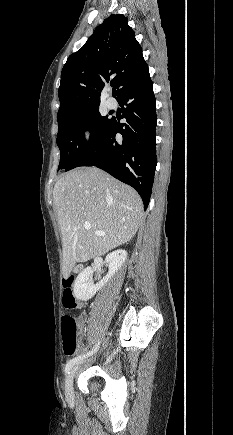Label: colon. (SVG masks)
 <instances>
[{
  "label": "colon",
  "mask_w": 233,
  "mask_h": 435,
  "mask_svg": "<svg viewBox=\"0 0 233 435\" xmlns=\"http://www.w3.org/2000/svg\"><path fill=\"white\" fill-rule=\"evenodd\" d=\"M74 284V278L69 277L63 281V305L67 310H75L79 307V302L76 300L72 287ZM62 328V345L63 351L67 355L74 354L77 348L78 337V322L77 318L66 313L61 318Z\"/></svg>",
  "instance_id": "colon-1"
}]
</instances>
